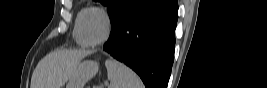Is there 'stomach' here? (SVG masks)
<instances>
[{
  "label": "stomach",
  "mask_w": 267,
  "mask_h": 88,
  "mask_svg": "<svg viewBox=\"0 0 267 88\" xmlns=\"http://www.w3.org/2000/svg\"><path fill=\"white\" fill-rule=\"evenodd\" d=\"M98 70L99 65L96 61L85 60L79 63L70 76L66 88H83L98 73Z\"/></svg>",
  "instance_id": "0dacf381"
}]
</instances>
